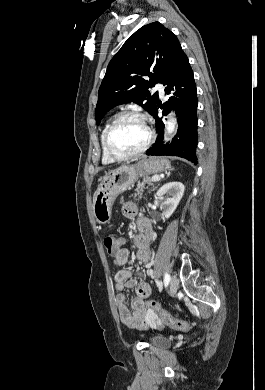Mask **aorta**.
Instances as JSON below:
<instances>
[{
    "instance_id": "aorta-1",
    "label": "aorta",
    "mask_w": 265,
    "mask_h": 390,
    "mask_svg": "<svg viewBox=\"0 0 265 390\" xmlns=\"http://www.w3.org/2000/svg\"><path fill=\"white\" fill-rule=\"evenodd\" d=\"M176 126V120L175 119H169L167 122V127H166V133L168 135L172 134L175 130Z\"/></svg>"
}]
</instances>
